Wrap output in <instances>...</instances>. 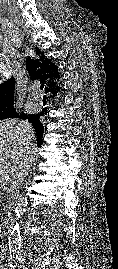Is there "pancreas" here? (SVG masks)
Returning <instances> with one entry per match:
<instances>
[{
	"mask_svg": "<svg viewBox=\"0 0 118 269\" xmlns=\"http://www.w3.org/2000/svg\"><path fill=\"white\" fill-rule=\"evenodd\" d=\"M5 184L7 185V182H5ZM4 190H6V193H8L7 192L8 191L7 187H4ZM6 201H7V205L5 206V208L8 209L11 202L9 201V198L7 196H6Z\"/></svg>",
	"mask_w": 118,
	"mask_h": 269,
	"instance_id": "obj_1",
	"label": "pancreas"
}]
</instances>
